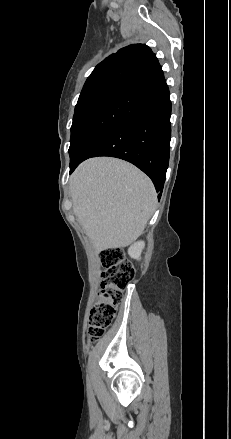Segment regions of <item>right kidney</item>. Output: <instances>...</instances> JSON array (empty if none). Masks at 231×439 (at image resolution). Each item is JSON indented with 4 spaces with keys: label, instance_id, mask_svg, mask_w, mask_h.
<instances>
[{
    "label": "right kidney",
    "instance_id": "right-kidney-1",
    "mask_svg": "<svg viewBox=\"0 0 231 439\" xmlns=\"http://www.w3.org/2000/svg\"><path fill=\"white\" fill-rule=\"evenodd\" d=\"M144 246L145 243L143 241H138L129 248L128 254L131 258L139 260Z\"/></svg>",
    "mask_w": 231,
    "mask_h": 439
}]
</instances>
